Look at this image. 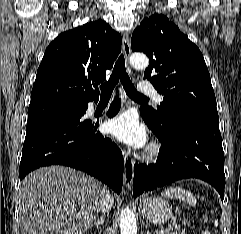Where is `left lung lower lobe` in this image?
Masks as SVG:
<instances>
[{"label": "left lung lower lobe", "instance_id": "1", "mask_svg": "<svg viewBox=\"0 0 241 234\" xmlns=\"http://www.w3.org/2000/svg\"><path fill=\"white\" fill-rule=\"evenodd\" d=\"M162 144L155 164L134 165V197L176 180L199 178L224 198V152L219 121L186 115L169 117L164 130L144 120Z\"/></svg>", "mask_w": 241, "mask_h": 234}]
</instances>
